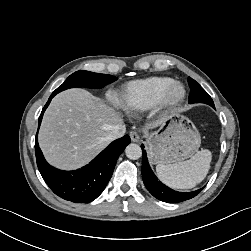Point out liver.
<instances>
[{
	"label": "liver",
	"instance_id": "liver-1",
	"mask_svg": "<svg viewBox=\"0 0 251 251\" xmlns=\"http://www.w3.org/2000/svg\"><path fill=\"white\" fill-rule=\"evenodd\" d=\"M148 124V129L161 124ZM123 124L112 107L84 89L57 94L44 113L39 144L47 161L62 169H76L91 161L110 141L108 134Z\"/></svg>",
	"mask_w": 251,
	"mask_h": 251
}]
</instances>
